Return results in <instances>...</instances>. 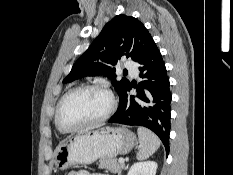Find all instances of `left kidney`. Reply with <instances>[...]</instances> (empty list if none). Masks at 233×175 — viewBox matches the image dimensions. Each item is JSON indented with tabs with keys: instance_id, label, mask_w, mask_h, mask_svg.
I'll return each mask as SVG.
<instances>
[{
	"instance_id": "obj_1",
	"label": "left kidney",
	"mask_w": 233,
	"mask_h": 175,
	"mask_svg": "<svg viewBox=\"0 0 233 175\" xmlns=\"http://www.w3.org/2000/svg\"><path fill=\"white\" fill-rule=\"evenodd\" d=\"M157 167L155 161L137 162L131 166L127 175H156Z\"/></svg>"
}]
</instances>
